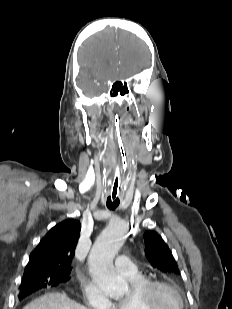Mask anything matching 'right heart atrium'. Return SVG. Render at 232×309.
Segmentation results:
<instances>
[{
	"instance_id": "right-heart-atrium-1",
	"label": "right heart atrium",
	"mask_w": 232,
	"mask_h": 309,
	"mask_svg": "<svg viewBox=\"0 0 232 309\" xmlns=\"http://www.w3.org/2000/svg\"><path fill=\"white\" fill-rule=\"evenodd\" d=\"M84 301L92 309H112V302L105 292L93 281L81 282Z\"/></svg>"
}]
</instances>
